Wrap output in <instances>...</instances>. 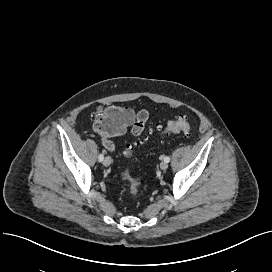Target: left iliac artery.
<instances>
[{
	"label": "left iliac artery",
	"instance_id": "1",
	"mask_svg": "<svg viewBox=\"0 0 272 272\" xmlns=\"http://www.w3.org/2000/svg\"><path fill=\"white\" fill-rule=\"evenodd\" d=\"M164 161L168 163L170 161V158L168 156H166V157H164Z\"/></svg>",
	"mask_w": 272,
	"mask_h": 272
}]
</instances>
